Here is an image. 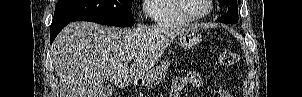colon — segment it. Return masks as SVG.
Listing matches in <instances>:
<instances>
[{"label":"colon","instance_id":"obj_1","mask_svg":"<svg viewBox=\"0 0 302 97\" xmlns=\"http://www.w3.org/2000/svg\"><path fill=\"white\" fill-rule=\"evenodd\" d=\"M238 61L239 55L234 51L227 50L219 54V62L225 67L234 66Z\"/></svg>","mask_w":302,"mask_h":97}]
</instances>
